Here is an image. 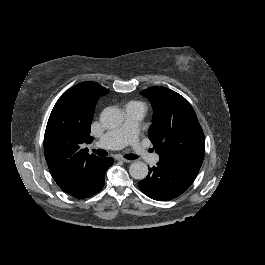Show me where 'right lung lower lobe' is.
<instances>
[{"mask_svg": "<svg viewBox=\"0 0 265 265\" xmlns=\"http://www.w3.org/2000/svg\"><path fill=\"white\" fill-rule=\"evenodd\" d=\"M113 164V158L108 157L104 158L102 161V169L95 176L92 183L83 185L75 190L67 192V194L75 197V198H87L90 197L101 190L104 185V176L106 170Z\"/></svg>", "mask_w": 265, "mask_h": 265, "instance_id": "1", "label": "right lung lower lobe"}]
</instances>
